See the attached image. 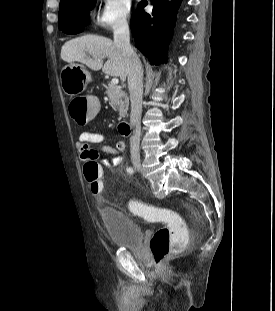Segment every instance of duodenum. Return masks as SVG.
Wrapping results in <instances>:
<instances>
[{
	"label": "duodenum",
	"instance_id": "410a0bca",
	"mask_svg": "<svg viewBox=\"0 0 275 311\" xmlns=\"http://www.w3.org/2000/svg\"><path fill=\"white\" fill-rule=\"evenodd\" d=\"M118 131L121 135L123 136H128L131 134V131H132V127L131 125L126 122V121H121L119 124H118Z\"/></svg>",
	"mask_w": 275,
	"mask_h": 311
}]
</instances>
